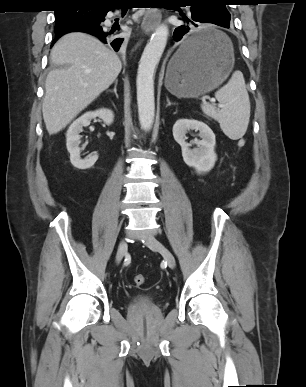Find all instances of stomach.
<instances>
[{
	"label": "stomach",
	"mask_w": 306,
	"mask_h": 387,
	"mask_svg": "<svg viewBox=\"0 0 306 387\" xmlns=\"http://www.w3.org/2000/svg\"><path fill=\"white\" fill-rule=\"evenodd\" d=\"M211 31L215 41L207 53L186 59L180 48L170 59L165 86L173 95L185 98L204 95L218 87L232 71L234 51L230 39L220 31Z\"/></svg>",
	"instance_id": "0dacf381"
}]
</instances>
